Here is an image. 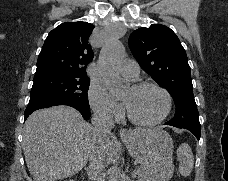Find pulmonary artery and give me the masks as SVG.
Listing matches in <instances>:
<instances>
[{
	"label": "pulmonary artery",
	"instance_id": "pulmonary-artery-1",
	"mask_svg": "<svg viewBox=\"0 0 228 181\" xmlns=\"http://www.w3.org/2000/svg\"><path fill=\"white\" fill-rule=\"evenodd\" d=\"M119 69L121 71L123 69L124 75H128L132 79H136L138 77V74L136 73V70L138 69V62H126V65H123L122 68L119 67Z\"/></svg>",
	"mask_w": 228,
	"mask_h": 181
}]
</instances>
